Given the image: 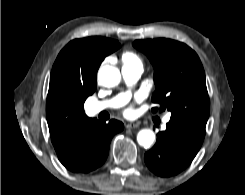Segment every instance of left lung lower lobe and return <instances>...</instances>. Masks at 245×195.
<instances>
[{
  "label": "left lung lower lobe",
  "mask_w": 245,
  "mask_h": 195,
  "mask_svg": "<svg viewBox=\"0 0 245 195\" xmlns=\"http://www.w3.org/2000/svg\"><path fill=\"white\" fill-rule=\"evenodd\" d=\"M166 131L157 134L155 146L145 153L148 168L158 176L170 177L183 171L198 153L205 126L170 119Z\"/></svg>",
  "instance_id": "obj_1"
}]
</instances>
